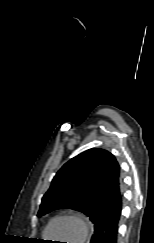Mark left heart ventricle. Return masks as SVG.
I'll use <instances>...</instances> for the list:
<instances>
[{"instance_id":"obj_1","label":"left heart ventricle","mask_w":154,"mask_h":243,"mask_svg":"<svg viewBox=\"0 0 154 243\" xmlns=\"http://www.w3.org/2000/svg\"><path fill=\"white\" fill-rule=\"evenodd\" d=\"M49 235L58 239L68 238L70 243H76L75 241L78 238V227L73 221L58 220L52 225Z\"/></svg>"}]
</instances>
